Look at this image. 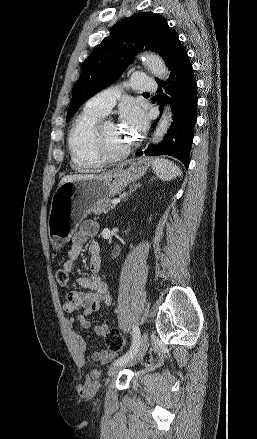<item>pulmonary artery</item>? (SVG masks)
<instances>
[{
    "instance_id": "obj_1",
    "label": "pulmonary artery",
    "mask_w": 257,
    "mask_h": 439,
    "mask_svg": "<svg viewBox=\"0 0 257 439\" xmlns=\"http://www.w3.org/2000/svg\"><path fill=\"white\" fill-rule=\"evenodd\" d=\"M130 86L138 93H151L156 91V81L145 73H134L129 78ZM119 98V91L115 88H107L90 98L85 109L106 115L114 107Z\"/></svg>"
}]
</instances>
